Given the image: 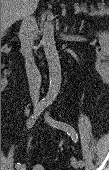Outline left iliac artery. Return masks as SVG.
Here are the masks:
<instances>
[{
	"label": "left iliac artery",
	"mask_w": 109,
	"mask_h": 170,
	"mask_svg": "<svg viewBox=\"0 0 109 170\" xmlns=\"http://www.w3.org/2000/svg\"><path fill=\"white\" fill-rule=\"evenodd\" d=\"M46 121L53 127L64 130L71 138L74 142H77L78 139V135L75 131V129L70 126L67 123L64 122H60V121H56L53 118H51L48 114H46ZM80 165L83 167L84 166V161L80 160L79 161Z\"/></svg>",
	"instance_id": "44dca946"
}]
</instances>
